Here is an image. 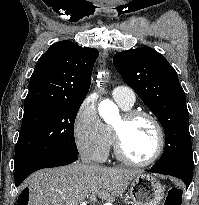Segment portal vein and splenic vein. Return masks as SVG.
Here are the masks:
<instances>
[{
    "label": "portal vein and splenic vein",
    "mask_w": 199,
    "mask_h": 205,
    "mask_svg": "<svg viewBox=\"0 0 199 205\" xmlns=\"http://www.w3.org/2000/svg\"><path fill=\"white\" fill-rule=\"evenodd\" d=\"M90 200L92 202H96V196H94V195L90 196ZM81 205H86V203H82Z\"/></svg>",
    "instance_id": "1"
}]
</instances>
